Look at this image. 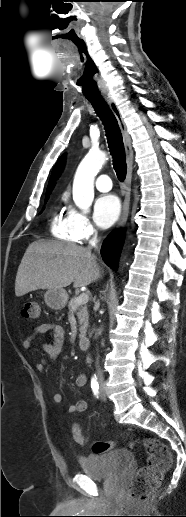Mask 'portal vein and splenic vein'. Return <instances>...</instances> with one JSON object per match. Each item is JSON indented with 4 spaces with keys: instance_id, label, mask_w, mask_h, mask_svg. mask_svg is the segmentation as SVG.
<instances>
[{
    "instance_id": "1",
    "label": "portal vein and splenic vein",
    "mask_w": 186,
    "mask_h": 517,
    "mask_svg": "<svg viewBox=\"0 0 186 517\" xmlns=\"http://www.w3.org/2000/svg\"><path fill=\"white\" fill-rule=\"evenodd\" d=\"M89 300V295L87 293H82L79 295V297L76 299L75 304L81 305L87 303Z\"/></svg>"
}]
</instances>
